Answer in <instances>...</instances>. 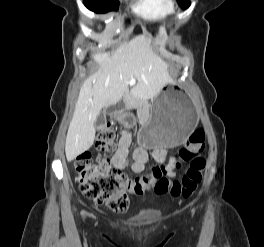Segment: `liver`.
I'll return each mask as SVG.
<instances>
[{
    "instance_id": "liver-1",
    "label": "liver",
    "mask_w": 264,
    "mask_h": 247,
    "mask_svg": "<svg viewBox=\"0 0 264 247\" xmlns=\"http://www.w3.org/2000/svg\"><path fill=\"white\" fill-rule=\"evenodd\" d=\"M92 58L99 68L80 89L66 136L68 162L93 145L95 122L102 108L128 96V85L132 80L137 84L131 95L140 101L157 97L163 87L172 82L168 65L153 52L151 38L146 34L124 41L111 53H94Z\"/></svg>"
}]
</instances>
